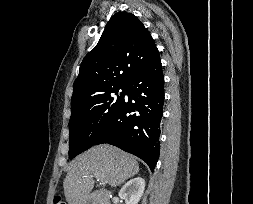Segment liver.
<instances>
[{"instance_id":"liver-1","label":"liver","mask_w":253,"mask_h":204,"mask_svg":"<svg viewBox=\"0 0 253 204\" xmlns=\"http://www.w3.org/2000/svg\"><path fill=\"white\" fill-rule=\"evenodd\" d=\"M138 172V162L128 153L108 144L92 147L71 163L63 182L66 201L85 204L94 187V174L116 187Z\"/></svg>"}]
</instances>
